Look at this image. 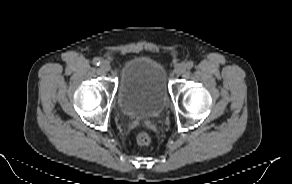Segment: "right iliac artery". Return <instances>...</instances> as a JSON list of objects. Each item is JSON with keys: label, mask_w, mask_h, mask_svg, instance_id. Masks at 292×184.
<instances>
[{"label": "right iliac artery", "mask_w": 292, "mask_h": 184, "mask_svg": "<svg viewBox=\"0 0 292 184\" xmlns=\"http://www.w3.org/2000/svg\"><path fill=\"white\" fill-rule=\"evenodd\" d=\"M93 63H94V65L99 66L100 63H101V59H100V58H94V59H93Z\"/></svg>", "instance_id": "obj_1"}]
</instances>
